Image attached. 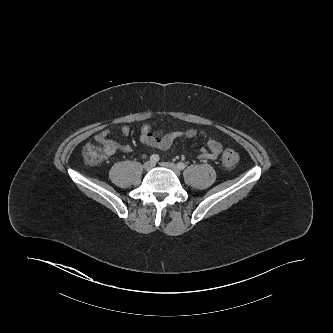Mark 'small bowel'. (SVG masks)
<instances>
[{
  "label": "small bowel",
  "instance_id": "obj_1",
  "mask_svg": "<svg viewBox=\"0 0 333 333\" xmlns=\"http://www.w3.org/2000/svg\"><path fill=\"white\" fill-rule=\"evenodd\" d=\"M120 133L123 136H128L130 134V128L123 125L119 128ZM111 131L108 129L102 130L95 136L96 142H103L107 146V155L112 156L117 151H122L124 153H129L132 151L129 145H119L114 141L109 139ZM197 136H202L206 139V146L198 154V159L200 160H214L217 159L222 151V145L219 141L212 137H208L205 132L198 131L195 129H186L184 131H175L165 134L162 137H156L151 133L148 126H143L141 128L140 140L143 145L151 148H156L159 150H168L177 138L192 139Z\"/></svg>",
  "mask_w": 333,
  "mask_h": 333
}]
</instances>
